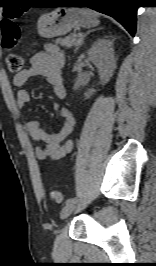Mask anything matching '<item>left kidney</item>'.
I'll use <instances>...</instances> for the list:
<instances>
[{"mask_svg": "<svg viewBox=\"0 0 156 266\" xmlns=\"http://www.w3.org/2000/svg\"><path fill=\"white\" fill-rule=\"evenodd\" d=\"M88 58L97 67L101 82L109 81L116 68L113 41L104 38L96 41L88 50ZM95 92V89H89L84 95L89 98Z\"/></svg>", "mask_w": 156, "mask_h": 266, "instance_id": "1", "label": "left kidney"}]
</instances>
